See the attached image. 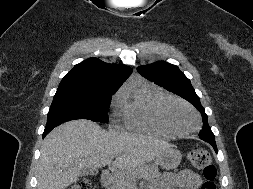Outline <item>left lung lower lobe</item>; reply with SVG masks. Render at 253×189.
Instances as JSON below:
<instances>
[{"label": "left lung lower lobe", "mask_w": 253, "mask_h": 189, "mask_svg": "<svg viewBox=\"0 0 253 189\" xmlns=\"http://www.w3.org/2000/svg\"><path fill=\"white\" fill-rule=\"evenodd\" d=\"M199 137L205 141H207L215 150V152L217 153V146H216V142H215V137H211V136H207L204 135L203 133L199 134Z\"/></svg>", "instance_id": "obj_1"}]
</instances>
